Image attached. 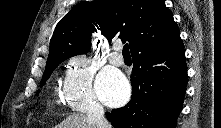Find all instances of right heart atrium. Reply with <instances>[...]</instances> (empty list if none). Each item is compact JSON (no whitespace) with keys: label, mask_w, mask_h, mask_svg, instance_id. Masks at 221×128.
<instances>
[{"label":"right heart atrium","mask_w":221,"mask_h":128,"mask_svg":"<svg viewBox=\"0 0 221 128\" xmlns=\"http://www.w3.org/2000/svg\"><path fill=\"white\" fill-rule=\"evenodd\" d=\"M94 75L95 71L84 55H75L68 60L63 79V96L73 111L83 113L88 107H101L93 88Z\"/></svg>","instance_id":"d8ad5b80"}]
</instances>
